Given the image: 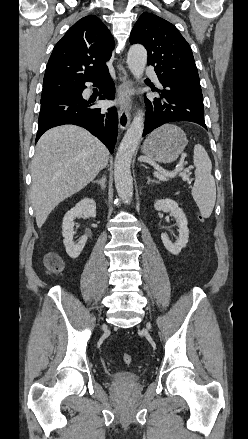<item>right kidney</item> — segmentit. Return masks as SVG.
<instances>
[{
	"instance_id": "right-kidney-1",
	"label": "right kidney",
	"mask_w": 248,
	"mask_h": 439,
	"mask_svg": "<svg viewBox=\"0 0 248 439\" xmlns=\"http://www.w3.org/2000/svg\"><path fill=\"white\" fill-rule=\"evenodd\" d=\"M95 216L96 203L91 198H84L65 214L62 223L63 243L71 258H77L80 255L87 241V236L84 235L77 244L74 243V219L77 217L94 218Z\"/></svg>"
}]
</instances>
